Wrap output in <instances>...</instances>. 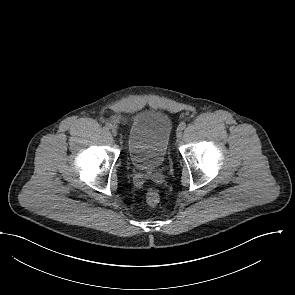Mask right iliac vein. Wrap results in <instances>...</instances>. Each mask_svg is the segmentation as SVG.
I'll list each match as a JSON object with an SVG mask.
<instances>
[{
  "label": "right iliac vein",
  "instance_id": "63e3f726",
  "mask_svg": "<svg viewBox=\"0 0 295 295\" xmlns=\"http://www.w3.org/2000/svg\"><path fill=\"white\" fill-rule=\"evenodd\" d=\"M111 132L113 135H117V128L116 127H112L111 128Z\"/></svg>",
  "mask_w": 295,
  "mask_h": 295
}]
</instances>
